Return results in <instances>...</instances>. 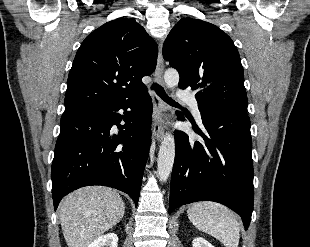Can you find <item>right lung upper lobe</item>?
Wrapping results in <instances>:
<instances>
[{"mask_svg": "<svg viewBox=\"0 0 310 247\" xmlns=\"http://www.w3.org/2000/svg\"><path fill=\"white\" fill-rule=\"evenodd\" d=\"M158 47L134 19L119 18L82 42L67 80L65 111L121 103L146 92L142 77L156 67Z\"/></svg>", "mask_w": 310, "mask_h": 247, "instance_id": "obj_1", "label": "right lung upper lobe"}]
</instances>
